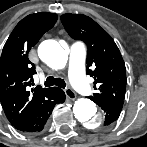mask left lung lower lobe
<instances>
[{
  "label": "left lung lower lobe",
  "instance_id": "0a47b994",
  "mask_svg": "<svg viewBox=\"0 0 147 147\" xmlns=\"http://www.w3.org/2000/svg\"><path fill=\"white\" fill-rule=\"evenodd\" d=\"M100 107L105 112L104 125L107 126L119 118V115L123 107V101L111 102Z\"/></svg>",
  "mask_w": 147,
  "mask_h": 147
}]
</instances>
